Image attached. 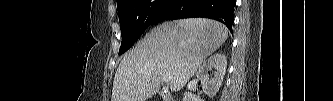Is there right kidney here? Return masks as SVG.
<instances>
[{
    "mask_svg": "<svg viewBox=\"0 0 333 101\" xmlns=\"http://www.w3.org/2000/svg\"><path fill=\"white\" fill-rule=\"evenodd\" d=\"M227 67V59L222 53H215L209 57L198 69L196 76L201 81L203 91L209 98H213L219 91ZM213 76L209 77L208 72L212 71ZM183 101H197L194 94L186 92Z\"/></svg>",
    "mask_w": 333,
    "mask_h": 101,
    "instance_id": "ca27d5eb",
    "label": "right kidney"
}]
</instances>
